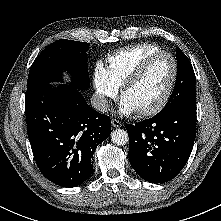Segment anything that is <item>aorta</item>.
Wrapping results in <instances>:
<instances>
[{
	"label": "aorta",
	"mask_w": 221,
	"mask_h": 221,
	"mask_svg": "<svg viewBox=\"0 0 221 221\" xmlns=\"http://www.w3.org/2000/svg\"><path fill=\"white\" fill-rule=\"evenodd\" d=\"M111 140L113 143L123 146L129 140L128 133L123 129H116L111 133Z\"/></svg>",
	"instance_id": "762f6f07"
}]
</instances>
